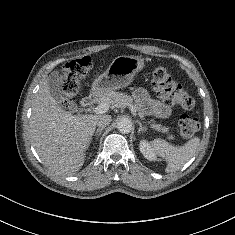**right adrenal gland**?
<instances>
[{"instance_id":"1","label":"right adrenal gland","mask_w":235,"mask_h":235,"mask_svg":"<svg viewBox=\"0 0 235 235\" xmlns=\"http://www.w3.org/2000/svg\"><path fill=\"white\" fill-rule=\"evenodd\" d=\"M104 128H105V127L98 128V129L96 130L94 136H96V135L100 136L101 133H102V131L104 130Z\"/></svg>"}]
</instances>
